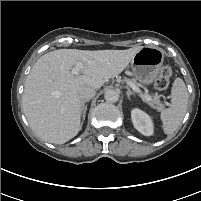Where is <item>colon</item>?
Segmentation results:
<instances>
[{
    "instance_id": "5ec220e1",
    "label": "colon",
    "mask_w": 201,
    "mask_h": 201,
    "mask_svg": "<svg viewBox=\"0 0 201 201\" xmlns=\"http://www.w3.org/2000/svg\"><path fill=\"white\" fill-rule=\"evenodd\" d=\"M171 75H172L171 67L168 65H165L161 69L159 76L155 82V87L158 91H165L168 88Z\"/></svg>"
}]
</instances>
